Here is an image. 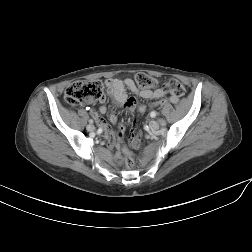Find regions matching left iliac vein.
<instances>
[{
    "instance_id": "4c4485c4",
    "label": "left iliac vein",
    "mask_w": 252,
    "mask_h": 252,
    "mask_svg": "<svg viewBox=\"0 0 252 252\" xmlns=\"http://www.w3.org/2000/svg\"><path fill=\"white\" fill-rule=\"evenodd\" d=\"M149 127H150L152 130H157V129L159 128V124H158V122H156V121H151V122L149 123Z\"/></svg>"
}]
</instances>
